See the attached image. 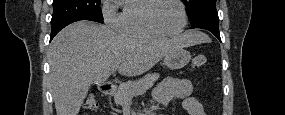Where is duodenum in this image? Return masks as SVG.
Instances as JSON below:
<instances>
[{
  "label": "duodenum",
  "mask_w": 285,
  "mask_h": 115,
  "mask_svg": "<svg viewBox=\"0 0 285 115\" xmlns=\"http://www.w3.org/2000/svg\"><path fill=\"white\" fill-rule=\"evenodd\" d=\"M115 87L116 86L113 82H104V83L100 84L99 90L102 94L108 95V94L113 92Z\"/></svg>",
  "instance_id": "410a0bca"
}]
</instances>
